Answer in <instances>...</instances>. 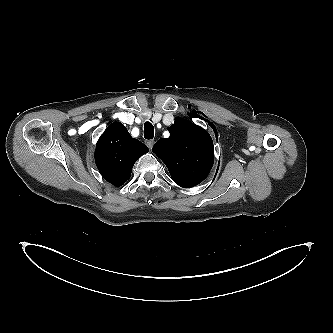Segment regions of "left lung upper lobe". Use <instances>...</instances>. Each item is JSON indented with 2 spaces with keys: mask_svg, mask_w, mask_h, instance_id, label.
I'll return each mask as SVG.
<instances>
[{
  "mask_svg": "<svg viewBox=\"0 0 333 333\" xmlns=\"http://www.w3.org/2000/svg\"><path fill=\"white\" fill-rule=\"evenodd\" d=\"M170 137L159 139L153 152L165 163L173 181L183 188L201 183L214 162L211 136L201 127L183 118H176L168 128Z\"/></svg>",
  "mask_w": 333,
  "mask_h": 333,
  "instance_id": "5c2ea615",
  "label": "left lung upper lobe"
}]
</instances>
